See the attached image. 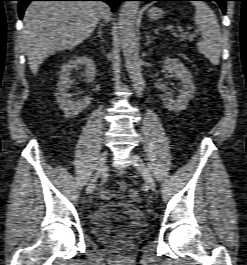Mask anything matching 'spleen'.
Masks as SVG:
<instances>
[{
    "label": "spleen",
    "instance_id": "obj_1",
    "mask_svg": "<svg viewBox=\"0 0 247 265\" xmlns=\"http://www.w3.org/2000/svg\"><path fill=\"white\" fill-rule=\"evenodd\" d=\"M194 21L198 26L202 40L197 43V49L213 65H218L222 48L221 30L218 20L211 8L203 1H194Z\"/></svg>",
    "mask_w": 247,
    "mask_h": 265
}]
</instances>
